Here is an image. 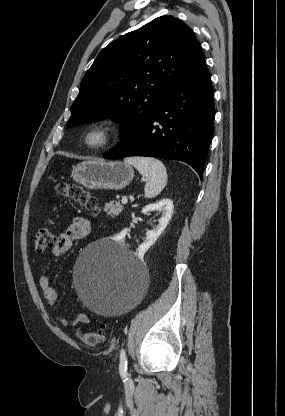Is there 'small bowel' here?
Returning a JSON list of instances; mask_svg holds the SVG:
<instances>
[{"mask_svg":"<svg viewBox=\"0 0 285 416\" xmlns=\"http://www.w3.org/2000/svg\"><path fill=\"white\" fill-rule=\"evenodd\" d=\"M91 232V223L87 218L76 217L72 220L66 230L57 238L52 246V253L61 256L66 253L76 240L86 238ZM39 286L46 302L53 306L58 301L56 290L50 285L49 278L42 275L39 279ZM54 319L63 327H76L89 323V317L85 313H79L75 318L69 319L61 315H55Z\"/></svg>","mask_w":285,"mask_h":416,"instance_id":"c3829d8e","label":"small bowel"}]
</instances>
